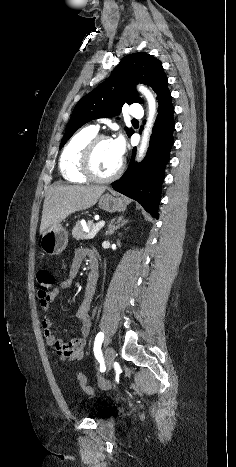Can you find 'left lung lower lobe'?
Segmentation results:
<instances>
[{
    "label": "left lung lower lobe",
    "mask_w": 236,
    "mask_h": 467,
    "mask_svg": "<svg viewBox=\"0 0 236 467\" xmlns=\"http://www.w3.org/2000/svg\"><path fill=\"white\" fill-rule=\"evenodd\" d=\"M158 102V116L146 157L141 163H135L134 148L128 169L119 180L111 184L114 190L138 201L155 218H158L161 186L174 142L172 134L175 126L174 108L168 88L160 95Z\"/></svg>",
    "instance_id": "1"
}]
</instances>
